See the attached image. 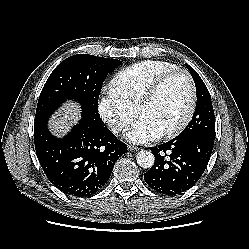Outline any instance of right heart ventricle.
Returning a JSON list of instances; mask_svg holds the SVG:
<instances>
[{"label":"right heart ventricle","instance_id":"1","mask_svg":"<svg viewBox=\"0 0 249 249\" xmlns=\"http://www.w3.org/2000/svg\"><path fill=\"white\" fill-rule=\"evenodd\" d=\"M177 68L163 60H145L117 72L111 80V89L130 106L137 103L151 83L163 73Z\"/></svg>","mask_w":249,"mask_h":249}]
</instances>
